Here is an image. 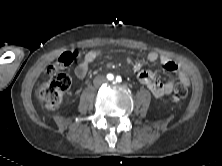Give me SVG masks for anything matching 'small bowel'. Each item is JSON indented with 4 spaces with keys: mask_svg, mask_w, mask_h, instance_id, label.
Wrapping results in <instances>:
<instances>
[{
    "mask_svg": "<svg viewBox=\"0 0 222 166\" xmlns=\"http://www.w3.org/2000/svg\"><path fill=\"white\" fill-rule=\"evenodd\" d=\"M101 51L90 50L85 55L83 60L75 67L74 73L78 79H84L87 76L89 68L93 61L101 56ZM147 60L150 62L159 61L163 68L170 73H176L181 83L189 85V78L184 70L179 65L165 55H159L156 52H149ZM138 80L146 85L151 93L160 98L171 93L174 87V81L161 82L156 75L149 70H142L138 73Z\"/></svg>",
    "mask_w": 222,
    "mask_h": 166,
    "instance_id": "small-bowel-1",
    "label": "small bowel"
}]
</instances>
